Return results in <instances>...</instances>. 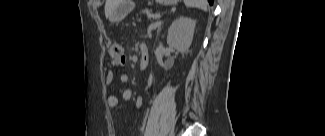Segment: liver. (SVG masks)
Instances as JSON below:
<instances>
[{"label": "liver", "instance_id": "obj_1", "mask_svg": "<svg viewBox=\"0 0 325 136\" xmlns=\"http://www.w3.org/2000/svg\"><path fill=\"white\" fill-rule=\"evenodd\" d=\"M120 0H106L105 3V16L111 21V15L117 7Z\"/></svg>", "mask_w": 325, "mask_h": 136}]
</instances>
